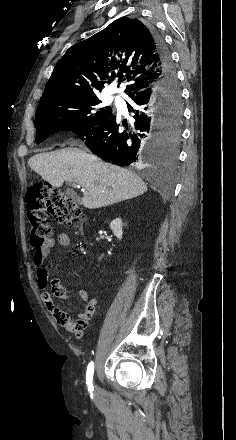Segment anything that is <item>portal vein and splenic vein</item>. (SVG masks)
Listing matches in <instances>:
<instances>
[{
	"label": "portal vein and splenic vein",
	"instance_id": "1",
	"mask_svg": "<svg viewBox=\"0 0 236 440\" xmlns=\"http://www.w3.org/2000/svg\"><path fill=\"white\" fill-rule=\"evenodd\" d=\"M73 185H74V186H77V187L79 186V184H73Z\"/></svg>",
	"mask_w": 236,
	"mask_h": 440
}]
</instances>
